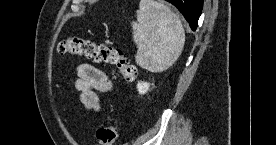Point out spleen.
<instances>
[{
  "mask_svg": "<svg viewBox=\"0 0 276 145\" xmlns=\"http://www.w3.org/2000/svg\"><path fill=\"white\" fill-rule=\"evenodd\" d=\"M136 14L132 33L137 45V65L153 73L167 70L184 48L181 20L169 7L155 0H141Z\"/></svg>",
  "mask_w": 276,
  "mask_h": 145,
  "instance_id": "obj_1",
  "label": "spleen"
}]
</instances>
